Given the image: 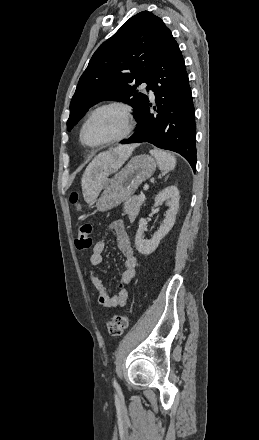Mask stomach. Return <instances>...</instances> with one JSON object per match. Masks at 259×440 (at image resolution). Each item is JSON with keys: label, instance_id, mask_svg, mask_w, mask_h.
<instances>
[{"label": "stomach", "instance_id": "1", "mask_svg": "<svg viewBox=\"0 0 259 440\" xmlns=\"http://www.w3.org/2000/svg\"><path fill=\"white\" fill-rule=\"evenodd\" d=\"M155 169L156 161L153 157L146 154L133 157L108 181L97 200V209L108 211L129 199L139 185L153 175Z\"/></svg>", "mask_w": 259, "mask_h": 440}]
</instances>
